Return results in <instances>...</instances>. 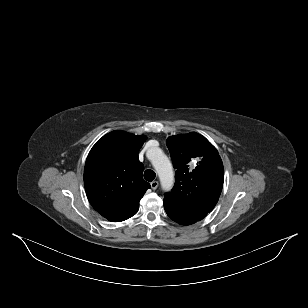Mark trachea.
<instances>
[{"label": "trachea", "mask_w": 308, "mask_h": 308, "mask_svg": "<svg viewBox=\"0 0 308 308\" xmlns=\"http://www.w3.org/2000/svg\"><path fill=\"white\" fill-rule=\"evenodd\" d=\"M155 177H156V174L153 170L148 169L144 172V178H145V180H147L149 182L153 181L155 179Z\"/></svg>", "instance_id": "3493384b"}]
</instances>
